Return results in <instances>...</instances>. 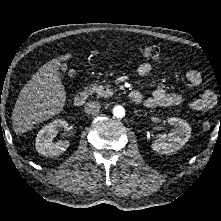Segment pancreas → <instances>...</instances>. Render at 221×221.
Wrapping results in <instances>:
<instances>
[{
  "mask_svg": "<svg viewBox=\"0 0 221 221\" xmlns=\"http://www.w3.org/2000/svg\"><path fill=\"white\" fill-rule=\"evenodd\" d=\"M90 90L97 94L98 97H104L107 98L109 96H112L116 90L109 89V86H102L93 84L90 88Z\"/></svg>",
  "mask_w": 221,
  "mask_h": 221,
  "instance_id": "obj_1",
  "label": "pancreas"
}]
</instances>
